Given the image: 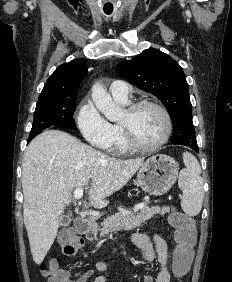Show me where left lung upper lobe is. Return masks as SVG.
I'll use <instances>...</instances> for the list:
<instances>
[{
    "mask_svg": "<svg viewBox=\"0 0 232 282\" xmlns=\"http://www.w3.org/2000/svg\"><path fill=\"white\" fill-rule=\"evenodd\" d=\"M121 77L155 95L166 107L174 126V137L183 144H196L192 106L185 74L178 63L157 49L142 52L117 65Z\"/></svg>",
    "mask_w": 232,
    "mask_h": 282,
    "instance_id": "1",
    "label": "left lung upper lobe"
}]
</instances>
